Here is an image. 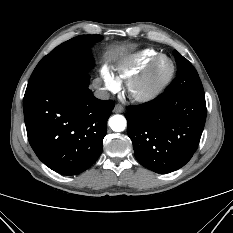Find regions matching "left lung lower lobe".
<instances>
[{"label":"left lung lower lobe","instance_id":"obj_1","mask_svg":"<svg viewBox=\"0 0 233 233\" xmlns=\"http://www.w3.org/2000/svg\"><path fill=\"white\" fill-rule=\"evenodd\" d=\"M127 109V133L141 165L165 174L191 159L205 125L204 95L164 92L152 101Z\"/></svg>","mask_w":233,"mask_h":233}]
</instances>
